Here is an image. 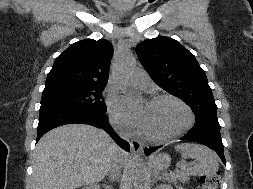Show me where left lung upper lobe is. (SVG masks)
<instances>
[{
	"instance_id": "obj_1",
	"label": "left lung upper lobe",
	"mask_w": 253,
	"mask_h": 189,
	"mask_svg": "<svg viewBox=\"0 0 253 189\" xmlns=\"http://www.w3.org/2000/svg\"><path fill=\"white\" fill-rule=\"evenodd\" d=\"M136 54L158 86L191 107L195 124H219L206 74L195 56L178 41L168 37L145 40L137 45Z\"/></svg>"
}]
</instances>
